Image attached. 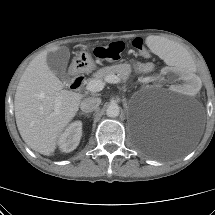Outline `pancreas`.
<instances>
[{
    "label": "pancreas",
    "mask_w": 215,
    "mask_h": 215,
    "mask_svg": "<svg viewBox=\"0 0 215 215\" xmlns=\"http://www.w3.org/2000/svg\"><path fill=\"white\" fill-rule=\"evenodd\" d=\"M131 73V67L129 64H119L114 66H107L99 69L94 75L95 80H105L109 75L117 74L121 79L127 80Z\"/></svg>",
    "instance_id": "pancreas-1"
}]
</instances>
